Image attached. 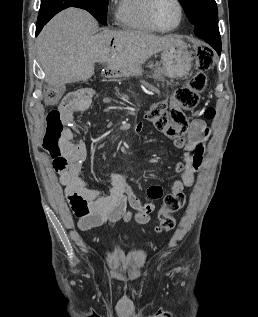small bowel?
Listing matches in <instances>:
<instances>
[{
	"label": "small bowel",
	"instance_id": "c3829d8e",
	"mask_svg": "<svg viewBox=\"0 0 258 317\" xmlns=\"http://www.w3.org/2000/svg\"><path fill=\"white\" fill-rule=\"evenodd\" d=\"M92 95L90 89L69 93L59 105V109L71 122L75 115L90 107ZM142 129L143 124L138 123L136 131L141 132ZM209 132L204 121L195 119L189 132L174 140L175 147L182 150V154L174 168L178 178L169 185L171 193H182L185 188L193 185L195 174L203 163L205 142ZM51 155L53 167L59 173L60 183L64 187L67 201L81 230L106 226L121 220L128 222L132 217L139 224L150 221L156 208L155 203H142L123 175L113 173L104 189L93 186L83 179L87 146L83 141H73L71 132L62 150L59 153L51 152ZM147 195L152 200L159 199L163 195V189L160 185L150 186ZM131 209L136 211L134 215Z\"/></svg>",
	"mask_w": 258,
	"mask_h": 317
}]
</instances>
